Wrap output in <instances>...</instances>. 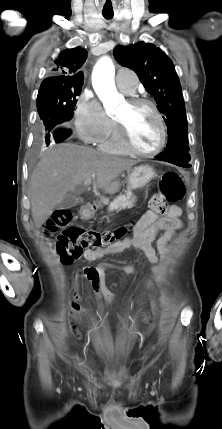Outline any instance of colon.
<instances>
[{
    "label": "colon",
    "instance_id": "5ec220e1",
    "mask_svg": "<svg viewBox=\"0 0 222 429\" xmlns=\"http://www.w3.org/2000/svg\"><path fill=\"white\" fill-rule=\"evenodd\" d=\"M161 196L175 203L183 199L185 187L181 176L176 172H167L161 180ZM72 214L68 210L58 211L47 223V231L62 232L57 236L55 249L64 264H71L86 250L105 248L117 242L125 234V228L115 231L98 232L71 226ZM148 320V317H145Z\"/></svg>",
    "mask_w": 222,
    "mask_h": 429
}]
</instances>
